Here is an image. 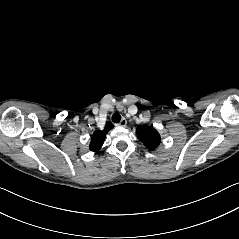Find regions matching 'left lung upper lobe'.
I'll return each instance as SVG.
<instances>
[{
  "label": "left lung upper lobe",
  "mask_w": 239,
  "mask_h": 239,
  "mask_svg": "<svg viewBox=\"0 0 239 239\" xmlns=\"http://www.w3.org/2000/svg\"><path fill=\"white\" fill-rule=\"evenodd\" d=\"M137 136L144 146L149 150L156 149L160 142L161 137L157 130L152 126H140L136 128Z\"/></svg>",
  "instance_id": "5c2ea615"
}]
</instances>
